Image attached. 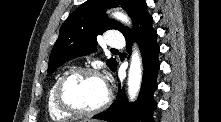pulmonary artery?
<instances>
[{"label": "pulmonary artery", "instance_id": "e3ab8cb5", "mask_svg": "<svg viewBox=\"0 0 221 122\" xmlns=\"http://www.w3.org/2000/svg\"><path fill=\"white\" fill-rule=\"evenodd\" d=\"M107 44L111 48L117 49V48H123L125 45V41H124V38L121 34L113 33L108 37Z\"/></svg>", "mask_w": 221, "mask_h": 122}]
</instances>
